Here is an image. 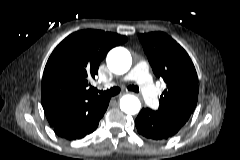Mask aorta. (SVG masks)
Segmentation results:
<instances>
[{
	"mask_svg": "<svg viewBox=\"0 0 240 160\" xmlns=\"http://www.w3.org/2000/svg\"><path fill=\"white\" fill-rule=\"evenodd\" d=\"M106 62L111 72L121 75L129 71L132 64V58L127 49L116 47L108 53ZM140 107L141 103L134 95H124L120 99V108L126 114H138Z\"/></svg>",
	"mask_w": 240,
	"mask_h": 160,
	"instance_id": "aorta-1",
	"label": "aorta"
}]
</instances>
